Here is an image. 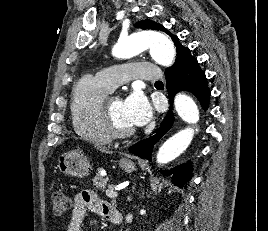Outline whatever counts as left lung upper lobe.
Returning a JSON list of instances; mask_svg holds the SVG:
<instances>
[{
  "label": "left lung upper lobe",
  "instance_id": "obj_1",
  "mask_svg": "<svg viewBox=\"0 0 268 231\" xmlns=\"http://www.w3.org/2000/svg\"><path fill=\"white\" fill-rule=\"evenodd\" d=\"M135 26L138 28H142V29L160 30V31L165 32L166 34H168L171 37L172 41L174 42V45L176 46V51H177L176 56L177 57H176L175 64L172 67L167 68L165 72H170V71H173V70H176V69L182 67L186 63V61L192 57L190 54L189 48L183 46L180 43L179 38L176 35L169 32L163 25L146 19V20H142L140 22H137Z\"/></svg>",
  "mask_w": 268,
  "mask_h": 231
}]
</instances>
